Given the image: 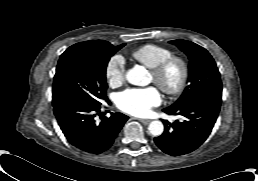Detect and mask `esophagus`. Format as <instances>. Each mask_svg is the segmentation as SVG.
<instances>
[{
    "instance_id": "esophagus-1",
    "label": "esophagus",
    "mask_w": 258,
    "mask_h": 181,
    "mask_svg": "<svg viewBox=\"0 0 258 181\" xmlns=\"http://www.w3.org/2000/svg\"><path fill=\"white\" fill-rule=\"evenodd\" d=\"M140 121L144 124H149L151 122L150 119H141Z\"/></svg>"
}]
</instances>
